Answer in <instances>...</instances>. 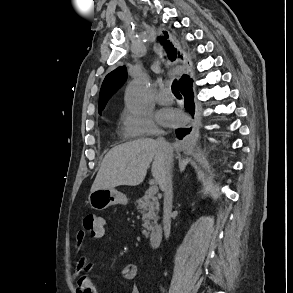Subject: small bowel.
Masks as SVG:
<instances>
[{
	"label": "small bowel",
	"instance_id": "1",
	"mask_svg": "<svg viewBox=\"0 0 293 293\" xmlns=\"http://www.w3.org/2000/svg\"><path fill=\"white\" fill-rule=\"evenodd\" d=\"M106 233L105 227L100 233L92 234L95 238H102ZM87 233L84 230H79L76 234V245L78 249H81ZM89 269V263L85 257L80 260L76 272L75 278L77 281V292L78 293H97V289L88 275L81 274L83 271ZM137 274V267L134 264H127L122 271V277L125 280H133ZM130 293H141L137 286H133Z\"/></svg>",
	"mask_w": 293,
	"mask_h": 293
}]
</instances>
